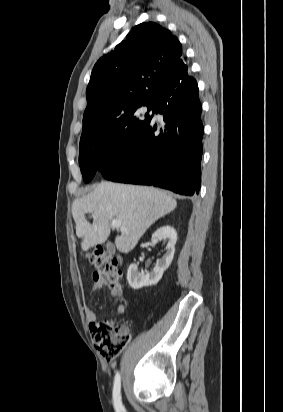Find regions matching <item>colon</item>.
Listing matches in <instances>:
<instances>
[{
    "label": "colon",
    "mask_w": 283,
    "mask_h": 412,
    "mask_svg": "<svg viewBox=\"0 0 283 412\" xmlns=\"http://www.w3.org/2000/svg\"><path fill=\"white\" fill-rule=\"evenodd\" d=\"M88 259L95 268L94 277L106 280L113 291L119 294L123 275L116 260L101 247L92 249ZM91 335L100 354L106 359L115 358L130 341L127 330L109 320L94 322L91 325Z\"/></svg>",
    "instance_id": "colon-1"
}]
</instances>
